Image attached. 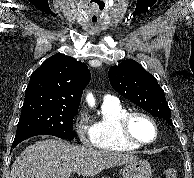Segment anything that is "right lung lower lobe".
Wrapping results in <instances>:
<instances>
[{"label": "right lung lower lobe", "mask_w": 194, "mask_h": 178, "mask_svg": "<svg viewBox=\"0 0 194 178\" xmlns=\"http://www.w3.org/2000/svg\"><path fill=\"white\" fill-rule=\"evenodd\" d=\"M36 135H43V134H39V133H28V134H22V135H19V136H15V139H14L13 144H12V148H15L23 140H25L27 138H30L32 136H36Z\"/></svg>", "instance_id": "1"}]
</instances>
